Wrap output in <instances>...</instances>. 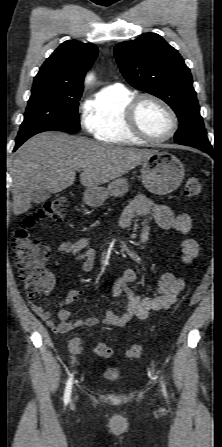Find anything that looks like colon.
<instances>
[{"instance_id": "5ec220e1", "label": "colon", "mask_w": 222, "mask_h": 447, "mask_svg": "<svg viewBox=\"0 0 222 447\" xmlns=\"http://www.w3.org/2000/svg\"><path fill=\"white\" fill-rule=\"evenodd\" d=\"M202 192V186L195 177H189L185 184V194L189 197L198 196ZM68 207L65 197H58L47 201L44 207L36 214L28 216L22 225L16 229L12 237V247L14 250V262L18 270L20 280L24 283L25 292L31 302L39 298L40 292L47 285L52 273L47 267V262L51 256V249L48 244L34 239L29 233L39 220H49L60 222L64 219ZM215 275V265L210 262L195 287L188 300V306L196 305L206 294ZM94 352L103 358H109L113 354L110 346L102 342L93 345ZM142 354L140 345H131L126 352L130 359H137Z\"/></svg>"}]
</instances>
